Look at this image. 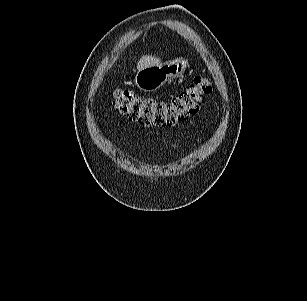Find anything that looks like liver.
<instances>
[{"instance_id": "1", "label": "liver", "mask_w": 307, "mask_h": 301, "mask_svg": "<svg viewBox=\"0 0 307 301\" xmlns=\"http://www.w3.org/2000/svg\"><path fill=\"white\" fill-rule=\"evenodd\" d=\"M160 64V59L152 56H143L137 63V69H143L149 66L158 65Z\"/></svg>"}]
</instances>
